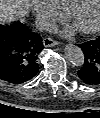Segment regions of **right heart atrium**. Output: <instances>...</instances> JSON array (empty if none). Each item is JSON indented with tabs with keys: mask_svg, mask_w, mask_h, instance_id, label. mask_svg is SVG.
Instances as JSON below:
<instances>
[{
	"mask_svg": "<svg viewBox=\"0 0 100 118\" xmlns=\"http://www.w3.org/2000/svg\"><path fill=\"white\" fill-rule=\"evenodd\" d=\"M32 6L38 23L43 27L63 19V12L58 9L53 0H32Z\"/></svg>",
	"mask_w": 100,
	"mask_h": 118,
	"instance_id": "1",
	"label": "right heart atrium"
}]
</instances>
